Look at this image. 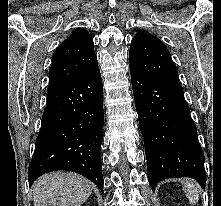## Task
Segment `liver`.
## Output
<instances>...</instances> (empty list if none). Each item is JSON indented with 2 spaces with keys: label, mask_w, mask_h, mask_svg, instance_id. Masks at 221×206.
<instances>
[{
  "label": "liver",
  "mask_w": 221,
  "mask_h": 206,
  "mask_svg": "<svg viewBox=\"0 0 221 206\" xmlns=\"http://www.w3.org/2000/svg\"><path fill=\"white\" fill-rule=\"evenodd\" d=\"M93 184L76 173L46 174L33 185L34 206H80L86 202Z\"/></svg>",
  "instance_id": "6515ba94"
}]
</instances>
